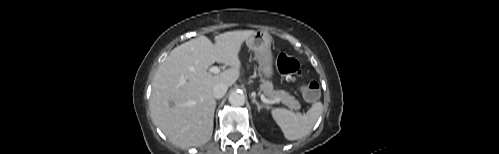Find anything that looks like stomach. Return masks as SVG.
Segmentation results:
<instances>
[{"mask_svg":"<svg viewBox=\"0 0 499 154\" xmlns=\"http://www.w3.org/2000/svg\"><path fill=\"white\" fill-rule=\"evenodd\" d=\"M272 37L266 31H255L246 44L255 53L261 76L270 78L273 75V55L271 51Z\"/></svg>","mask_w":499,"mask_h":154,"instance_id":"stomach-1","label":"stomach"}]
</instances>
